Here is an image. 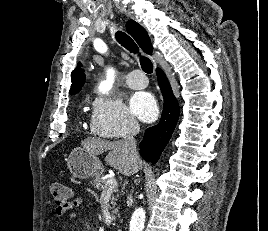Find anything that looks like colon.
Listing matches in <instances>:
<instances>
[{"label":"colon","mask_w":268,"mask_h":231,"mask_svg":"<svg viewBox=\"0 0 268 231\" xmlns=\"http://www.w3.org/2000/svg\"><path fill=\"white\" fill-rule=\"evenodd\" d=\"M50 191L54 203L60 208H66L69 204L70 189L59 182H54L50 185Z\"/></svg>","instance_id":"5ec220e1"}]
</instances>
